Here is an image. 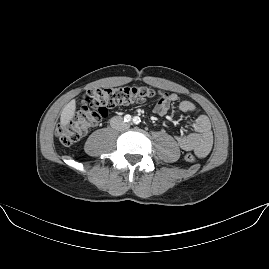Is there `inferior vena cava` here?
Wrapping results in <instances>:
<instances>
[{
	"instance_id": "obj_1",
	"label": "inferior vena cava",
	"mask_w": 269,
	"mask_h": 269,
	"mask_svg": "<svg viewBox=\"0 0 269 269\" xmlns=\"http://www.w3.org/2000/svg\"><path fill=\"white\" fill-rule=\"evenodd\" d=\"M110 125L113 129L117 131H125L129 128V124L123 121V118L120 116L113 117L110 120Z\"/></svg>"
}]
</instances>
